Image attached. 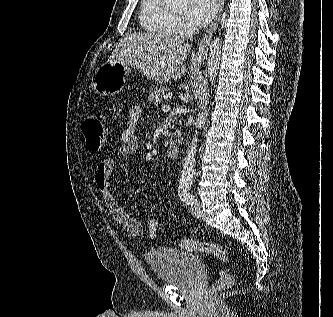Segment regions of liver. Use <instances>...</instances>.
Returning <instances> with one entry per match:
<instances>
[{
  "mask_svg": "<svg viewBox=\"0 0 333 317\" xmlns=\"http://www.w3.org/2000/svg\"><path fill=\"white\" fill-rule=\"evenodd\" d=\"M191 52V45L180 38L155 33L134 32L116 45L109 63L137 68L156 83L177 81L187 68L180 66Z\"/></svg>",
  "mask_w": 333,
  "mask_h": 317,
  "instance_id": "6515ba94",
  "label": "liver"
}]
</instances>
